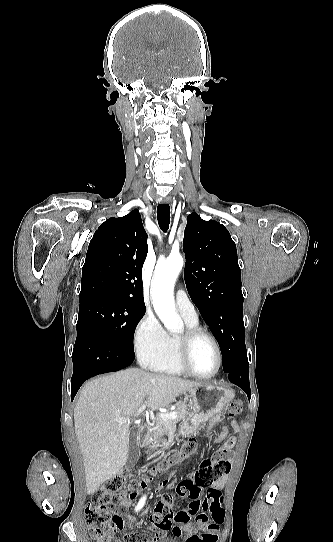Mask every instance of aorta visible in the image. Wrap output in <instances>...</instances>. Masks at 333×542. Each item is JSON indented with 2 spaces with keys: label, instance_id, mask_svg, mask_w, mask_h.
Returning <instances> with one entry per match:
<instances>
[{
  "label": "aorta",
  "instance_id": "obj_1",
  "mask_svg": "<svg viewBox=\"0 0 333 542\" xmlns=\"http://www.w3.org/2000/svg\"><path fill=\"white\" fill-rule=\"evenodd\" d=\"M182 256H169L157 264L152 282L154 310L167 330H181V318L174 304L173 286L182 270Z\"/></svg>",
  "mask_w": 333,
  "mask_h": 542
}]
</instances>
